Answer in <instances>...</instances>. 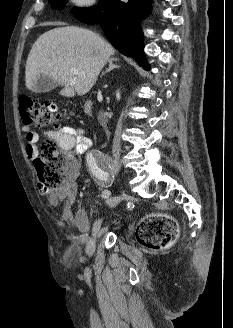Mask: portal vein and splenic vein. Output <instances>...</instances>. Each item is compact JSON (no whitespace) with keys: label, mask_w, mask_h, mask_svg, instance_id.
Instances as JSON below:
<instances>
[{"label":"portal vein and splenic vein","mask_w":233,"mask_h":328,"mask_svg":"<svg viewBox=\"0 0 233 328\" xmlns=\"http://www.w3.org/2000/svg\"><path fill=\"white\" fill-rule=\"evenodd\" d=\"M71 71H72V73H74V74L83 73V72H80V70L77 69V68H72Z\"/></svg>","instance_id":"portal-vein-and-splenic-vein-1"}]
</instances>
